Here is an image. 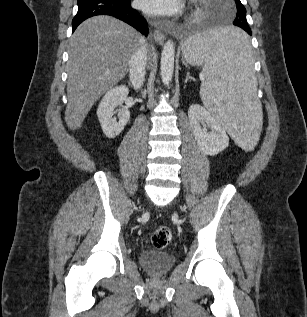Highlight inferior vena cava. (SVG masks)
<instances>
[{
  "label": "inferior vena cava",
  "mask_w": 307,
  "mask_h": 317,
  "mask_svg": "<svg viewBox=\"0 0 307 317\" xmlns=\"http://www.w3.org/2000/svg\"><path fill=\"white\" fill-rule=\"evenodd\" d=\"M147 49L144 38H140V48L132 55L129 61V78L134 89H140L144 82Z\"/></svg>",
  "instance_id": "obj_1"
}]
</instances>
